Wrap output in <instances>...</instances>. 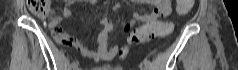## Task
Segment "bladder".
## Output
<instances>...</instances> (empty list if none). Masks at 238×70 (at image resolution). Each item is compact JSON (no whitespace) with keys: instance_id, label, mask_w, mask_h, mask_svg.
Masks as SVG:
<instances>
[{"instance_id":"1","label":"bladder","mask_w":238,"mask_h":70,"mask_svg":"<svg viewBox=\"0 0 238 70\" xmlns=\"http://www.w3.org/2000/svg\"><path fill=\"white\" fill-rule=\"evenodd\" d=\"M93 70H122L121 68H113V67H100L94 68Z\"/></svg>"}]
</instances>
